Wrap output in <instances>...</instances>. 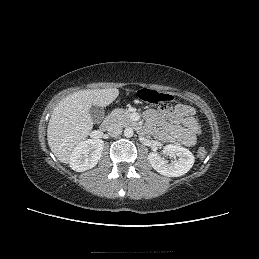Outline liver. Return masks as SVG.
I'll return each mask as SVG.
<instances>
[{
    "label": "liver",
    "instance_id": "obj_1",
    "mask_svg": "<svg viewBox=\"0 0 259 259\" xmlns=\"http://www.w3.org/2000/svg\"><path fill=\"white\" fill-rule=\"evenodd\" d=\"M118 95L117 88L81 90L69 94L56 105L48 123L47 140L60 162L68 164L74 148L93 129L90 107H106Z\"/></svg>",
    "mask_w": 259,
    "mask_h": 259
}]
</instances>
